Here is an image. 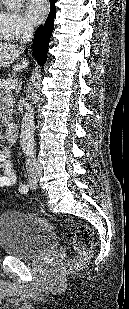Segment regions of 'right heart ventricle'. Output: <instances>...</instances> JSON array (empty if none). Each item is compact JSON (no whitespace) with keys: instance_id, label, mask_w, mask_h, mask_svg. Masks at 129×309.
<instances>
[{"instance_id":"e07e8e85","label":"right heart ventricle","mask_w":129,"mask_h":309,"mask_svg":"<svg viewBox=\"0 0 129 309\" xmlns=\"http://www.w3.org/2000/svg\"><path fill=\"white\" fill-rule=\"evenodd\" d=\"M1 40H7L4 36H3V34L1 33V31H0V41Z\"/></svg>"}]
</instances>
